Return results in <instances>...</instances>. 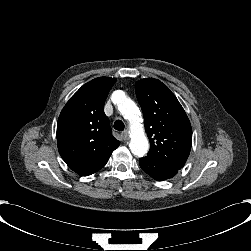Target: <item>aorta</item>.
Wrapping results in <instances>:
<instances>
[{
	"label": "aorta",
	"instance_id": "762f6f07",
	"mask_svg": "<svg viewBox=\"0 0 251 251\" xmlns=\"http://www.w3.org/2000/svg\"><path fill=\"white\" fill-rule=\"evenodd\" d=\"M112 100L120 103L119 110L122 116L129 123L130 143L129 147L133 154L143 156L149 148L148 139L142 124V116L139 114V108L130 99H124V92L116 90L113 92Z\"/></svg>",
	"mask_w": 251,
	"mask_h": 251
}]
</instances>
